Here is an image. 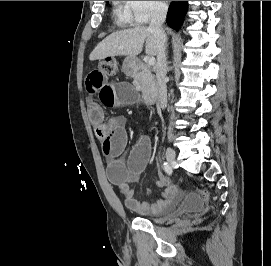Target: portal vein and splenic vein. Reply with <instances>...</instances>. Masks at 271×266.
I'll return each mask as SVG.
<instances>
[{
    "mask_svg": "<svg viewBox=\"0 0 271 266\" xmlns=\"http://www.w3.org/2000/svg\"><path fill=\"white\" fill-rule=\"evenodd\" d=\"M148 64L149 65H154L155 64V58L154 57H150L149 60H148Z\"/></svg>",
    "mask_w": 271,
    "mask_h": 266,
    "instance_id": "1",
    "label": "portal vein and splenic vein"
}]
</instances>
